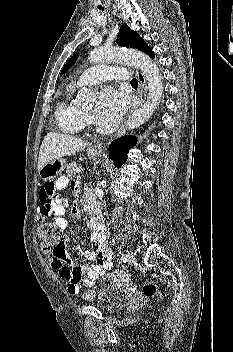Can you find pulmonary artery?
Instances as JSON below:
<instances>
[{
	"mask_svg": "<svg viewBox=\"0 0 233 352\" xmlns=\"http://www.w3.org/2000/svg\"><path fill=\"white\" fill-rule=\"evenodd\" d=\"M130 73L124 69L108 65H97L85 70L78 78V85L97 84L111 79L127 80Z\"/></svg>",
	"mask_w": 233,
	"mask_h": 352,
	"instance_id": "e3ab8cb5",
	"label": "pulmonary artery"
}]
</instances>
